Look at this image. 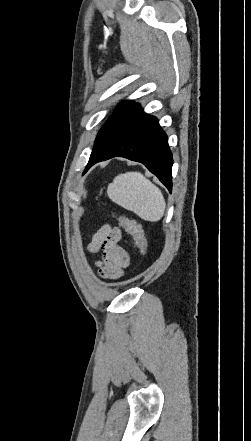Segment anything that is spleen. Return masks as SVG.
<instances>
[{"mask_svg":"<svg viewBox=\"0 0 251 441\" xmlns=\"http://www.w3.org/2000/svg\"><path fill=\"white\" fill-rule=\"evenodd\" d=\"M108 197L141 219L159 221L166 208L160 189L139 172L117 175L107 189Z\"/></svg>","mask_w":251,"mask_h":441,"instance_id":"obj_1","label":"spleen"}]
</instances>
